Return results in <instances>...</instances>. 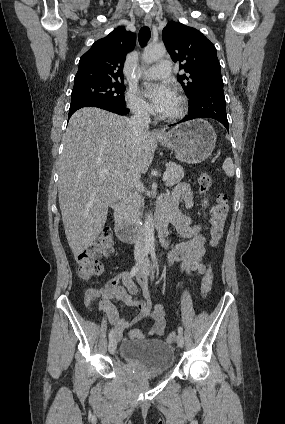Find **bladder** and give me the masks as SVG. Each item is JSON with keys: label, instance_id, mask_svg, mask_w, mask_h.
<instances>
[{"label": "bladder", "instance_id": "obj_1", "mask_svg": "<svg viewBox=\"0 0 285 424\" xmlns=\"http://www.w3.org/2000/svg\"><path fill=\"white\" fill-rule=\"evenodd\" d=\"M119 352L122 361L153 375L168 372L175 361L173 347L157 339L126 340Z\"/></svg>", "mask_w": 285, "mask_h": 424}]
</instances>
